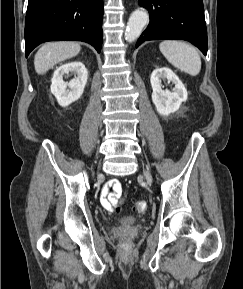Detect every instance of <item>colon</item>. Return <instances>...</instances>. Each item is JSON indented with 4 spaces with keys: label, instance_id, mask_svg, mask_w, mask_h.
Here are the masks:
<instances>
[{
    "label": "colon",
    "instance_id": "1",
    "mask_svg": "<svg viewBox=\"0 0 243 289\" xmlns=\"http://www.w3.org/2000/svg\"><path fill=\"white\" fill-rule=\"evenodd\" d=\"M116 212L121 211V206L118 204L114 207ZM147 209V203L145 201H138L133 205V211L136 213H143ZM127 245L126 243L124 244Z\"/></svg>",
    "mask_w": 243,
    "mask_h": 289
}]
</instances>
